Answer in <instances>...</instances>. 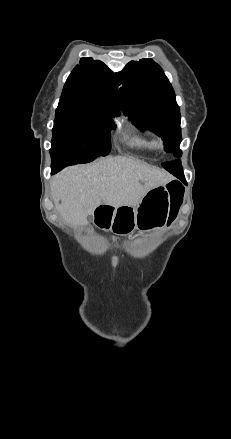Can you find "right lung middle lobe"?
Returning a JSON list of instances; mask_svg holds the SVG:
<instances>
[{
	"label": "right lung middle lobe",
	"mask_w": 231,
	"mask_h": 439,
	"mask_svg": "<svg viewBox=\"0 0 231 439\" xmlns=\"http://www.w3.org/2000/svg\"><path fill=\"white\" fill-rule=\"evenodd\" d=\"M119 110L95 108L58 109L54 121L52 164L73 165L88 163L106 156L111 149L112 117Z\"/></svg>",
	"instance_id": "dd1d6c3e"
}]
</instances>
